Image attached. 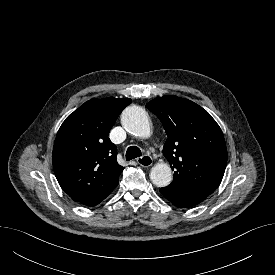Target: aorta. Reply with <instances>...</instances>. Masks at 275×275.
<instances>
[{
	"mask_svg": "<svg viewBox=\"0 0 275 275\" xmlns=\"http://www.w3.org/2000/svg\"><path fill=\"white\" fill-rule=\"evenodd\" d=\"M121 123L129 133L147 138L151 134L150 122L146 111L140 106L127 107L121 117ZM150 179L157 187H166L172 181L171 168L166 163H159L152 167Z\"/></svg>",
	"mask_w": 275,
	"mask_h": 275,
	"instance_id": "aorta-1",
	"label": "aorta"
}]
</instances>
